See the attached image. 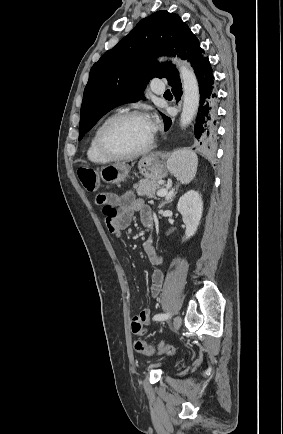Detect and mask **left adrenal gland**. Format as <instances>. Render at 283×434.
Listing matches in <instances>:
<instances>
[{
    "label": "left adrenal gland",
    "mask_w": 283,
    "mask_h": 434,
    "mask_svg": "<svg viewBox=\"0 0 283 434\" xmlns=\"http://www.w3.org/2000/svg\"><path fill=\"white\" fill-rule=\"evenodd\" d=\"M178 185L176 186V190L172 193V195L170 196V198L168 200H166L165 202H163L162 204L159 205V208H162L165 204L171 203L175 197V195L177 194L178 191Z\"/></svg>",
    "instance_id": "left-adrenal-gland-1"
}]
</instances>
